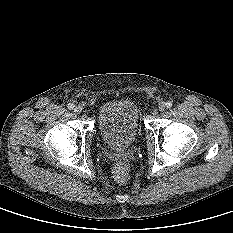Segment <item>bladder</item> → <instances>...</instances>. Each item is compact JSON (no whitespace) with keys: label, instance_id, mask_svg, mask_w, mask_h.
Segmentation results:
<instances>
[{"label":"bladder","instance_id":"bladder-1","mask_svg":"<svg viewBox=\"0 0 233 233\" xmlns=\"http://www.w3.org/2000/svg\"><path fill=\"white\" fill-rule=\"evenodd\" d=\"M97 129L101 139L109 147H128L142 129L138 103L128 97L105 102L97 115Z\"/></svg>","mask_w":233,"mask_h":233}]
</instances>
